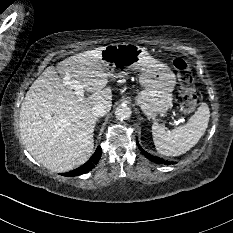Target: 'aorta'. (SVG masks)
Wrapping results in <instances>:
<instances>
[{"mask_svg":"<svg viewBox=\"0 0 233 233\" xmlns=\"http://www.w3.org/2000/svg\"><path fill=\"white\" fill-rule=\"evenodd\" d=\"M115 115L118 120H125L131 116V109L127 105H120L115 110Z\"/></svg>","mask_w":233,"mask_h":233,"instance_id":"aorta-1","label":"aorta"}]
</instances>
